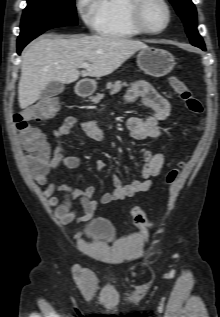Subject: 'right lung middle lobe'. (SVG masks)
<instances>
[{"label":"right lung middle lobe","mask_w":220,"mask_h":317,"mask_svg":"<svg viewBox=\"0 0 220 317\" xmlns=\"http://www.w3.org/2000/svg\"><path fill=\"white\" fill-rule=\"evenodd\" d=\"M27 3L18 42L52 28L77 25L74 0H27Z\"/></svg>","instance_id":"right-lung-middle-lobe-1"}]
</instances>
